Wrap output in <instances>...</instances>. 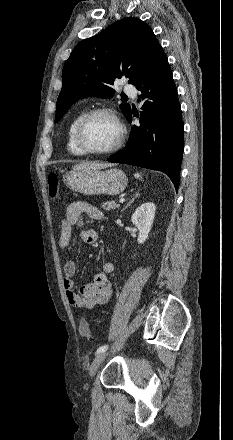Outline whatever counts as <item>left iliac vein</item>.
I'll list each match as a JSON object with an SVG mask.
<instances>
[{"label": "left iliac vein", "instance_id": "4c4485c4", "mask_svg": "<svg viewBox=\"0 0 233 440\" xmlns=\"http://www.w3.org/2000/svg\"><path fill=\"white\" fill-rule=\"evenodd\" d=\"M108 356L107 352H102L99 353L95 359L93 360L90 368H89V376L91 378L94 377V375L96 374V371L98 369V367L101 365V363L105 360V358Z\"/></svg>", "mask_w": 233, "mask_h": 440}]
</instances>
